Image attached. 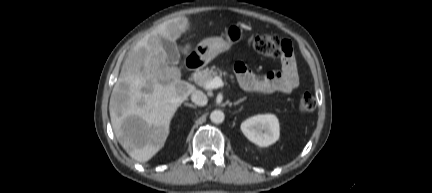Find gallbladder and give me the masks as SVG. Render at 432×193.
<instances>
[{"mask_svg":"<svg viewBox=\"0 0 432 193\" xmlns=\"http://www.w3.org/2000/svg\"><path fill=\"white\" fill-rule=\"evenodd\" d=\"M162 46L167 54V63L169 65H176L180 59V53L176 42L169 41L166 38H161Z\"/></svg>","mask_w":432,"mask_h":193,"instance_id":"1","label":"gallbladder"}]
</instances>
